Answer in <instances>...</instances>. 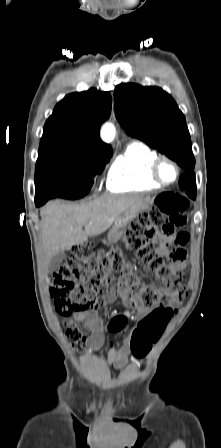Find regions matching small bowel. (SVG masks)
Returning a JSON list of instances; mask_svg holds the SVG:
<instances>
[{
    "mask_svg": "<svg viewBox=\"0 0 221 448\" xmlns=\"http://www.w3.org/2000/svg\"><path fill=\"white\" fill-rule=\"evenodd\" d=\"M157 233L155 228H152ZM189 241V234L184 230H179L172 236H159L158 251L160 254L170 258L174 267L183 270L186 267V250L185 246ZM173 244L174 249L169 250V245ZM119 295L125 307L136 306L137 315L143 320L150 316L153 310L144 307L142 304L134 300L130 296V290L124 279L109 278L107 289L102 294L98 302L91 308L74 313L69 321L71 325H83V328L89 332V347L91 350H97L104 341L105 320L100 316V309L113 301ZM128 321V314L118 315L109 322V329L112 332L121 331ZM135 330V329H134ZM131 335L128 336L121 345L111 344L107 355V362L115 368L123 369L130 360V357H137L131 346Z\"/></svg>",
    "mask_w": 221,
    "mask_h": 448,
    "instance_id": "small-bowel-1",
    "label": "small bowel"
}]
</instances>
